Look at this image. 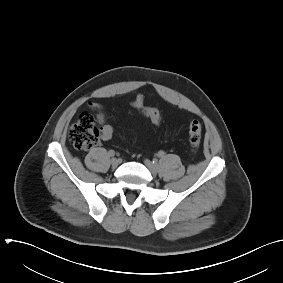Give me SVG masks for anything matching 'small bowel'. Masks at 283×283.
Instances as JSON below:
<instances>
[{
  "mask_svg": "<svg viewBox=\"0 0 283 283\" xmlns=\"http://www.w3.org/2000/svg\"><path fill=\"white\" fill-rule=\"evenodd\" d=\"M144 97L142 94L138 95L137 98L132 102V105L136 108H140L143 105ZM90 107L96 112L98 123L104 125L105 123V112L103 106L95 101L89 103Z\"/></svg>",
  "mask_w": 283,
  "mask_h": 283,
  "instance_id": "obj_1",
  "label": "small bowel"
}]
</instances>
